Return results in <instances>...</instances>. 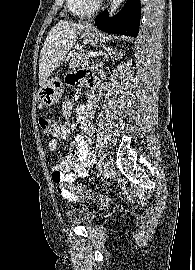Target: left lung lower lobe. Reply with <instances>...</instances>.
<instances>
[{"label": "left lung lower lobe", "instance_id": "0a47b994", "mask_svg": "<svg viewBox=\"0 0 195 270\" xmlns=\"http://www.w3.org/2000/svg\"><path fill=\"white\" fill-rule=\"evenodd\" d=\"M107 11L96 19L95 25L102 31L136 37L141 14L140 0H127L123 9L115 16L108 17Z\"/></svg>", "mask_w": 195, "mask_h": 270}]
</instances>
